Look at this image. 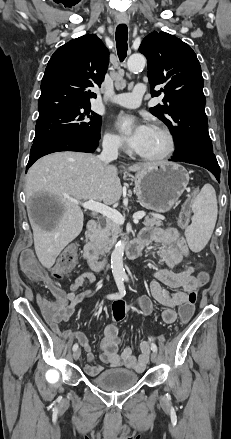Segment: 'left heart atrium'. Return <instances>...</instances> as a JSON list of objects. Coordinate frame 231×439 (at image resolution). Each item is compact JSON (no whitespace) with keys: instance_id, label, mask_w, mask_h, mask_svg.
I'll return each instance as SVG.
<instances>
[{"instance_id":"1","label":"left heart atrium","mask_w":231,"mask_h":439,"mask_svg":"<svg viewBox=\"0 0 231 439\" xmlns=\"http://www.w3.org/2000/svg\"><path fill=\"white\" fill-rule=\"evenodd\" d=\"M117 128L127 145L137 152L152 130L151 126L131 115H121L117 120Z\"/></svg>"}]
</instances>
